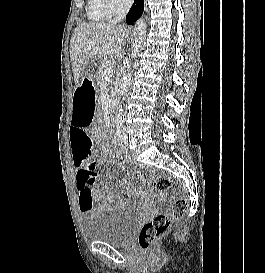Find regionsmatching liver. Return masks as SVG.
<instances>
[{
  "label": "liver",
  "instance_id": "liver-1",
  "mask_svg": "<svg viewBox=\"0 0 265 273\" xmlns=\"http://www.w3.org/2000/svg\"><path fill=\"white\" fill-rule=\"evenodd\" d=\"M129 33L124 26L112 23H83L77 25L70 41V57L76 85L86 75L90 63L118 54Z\"/></svg>",
  "mask_w": 265,
  "mask_h": 273
}]
</instances>
